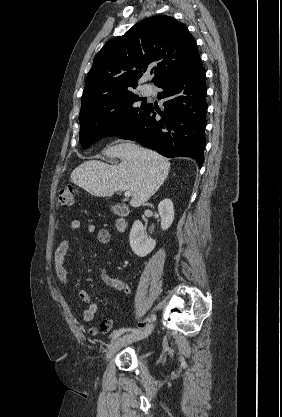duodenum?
<instances>
[{"mask_svg":"<svg viewBox=\"0 0 282 417\" xmlns=\"http://www.w3.org/2000/svg\"><path fill=\"white\" fill-rule=\"evenodd\" d=\"M127 228V222L126 219L121 216L117 219L116 221V229L119 233H124L126 231Z\"/></svg>","mask_w":282,"mask_h":417,"instance_id":"410a0bca","label":"duodenum"}]
</instances>
